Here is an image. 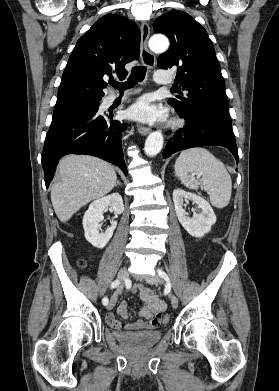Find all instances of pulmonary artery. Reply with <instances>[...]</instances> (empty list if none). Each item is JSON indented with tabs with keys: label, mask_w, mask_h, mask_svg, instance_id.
<instances>
[{
	"label": "pulmonary artery",
	"mask_w": 279,
	"mask_h": 391,
	"mask_svg": "<svg viewBox=\"0 0 279 391\" xmlns=\"http://www.w3.org/2000/svg\"><path fill=\"white\" fill-rule=\"evenodd\" d=\"M154 78H155L156 82L162 83V84H168V83L172 82V77L170 76V74H167L164 71L156 72ZM114 98H115V96H110L108 98V101H112V100H114Z\"/></svg>",
	"instance_id": "e3ab8cb5"
}]
</instances>
